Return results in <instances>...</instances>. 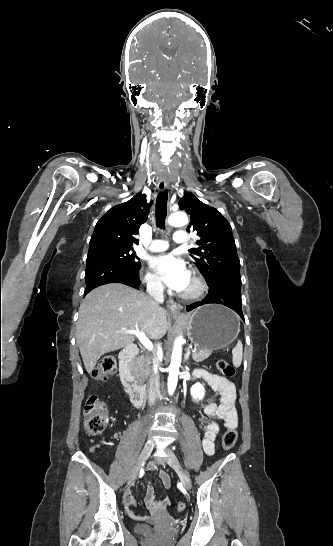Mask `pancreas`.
Returning <instances> with one entry per match:
<instances>
[{"mask_svg": "<svg viewBox=\"0 0 333 546\" xmlns=\"http://www.w3.org/2000/svg\"><path fill=\"white\" fill-rule=\"evenodd\" d=\"M197 350V349H196ZM212 354L210 349H200L193 353L192 357L195 362H202ZM152 356L148 353L142 355L137 360L136 378L139 384H143L145 379L152 373Z\"/></svg>", "mask_w": 333, "mask_h": 546, "instance_id": "1", "label": "pancreas"}]
</instances>
